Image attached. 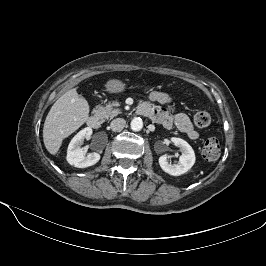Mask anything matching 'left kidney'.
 Returning a JSON list of instances; mask_svg holds the SVG:
<instances>
[{"instance_id": "left-kidney-1", "label": "left kidney", "mask_w": 266, "mask_h": 266, "mask_svg": "<svg viewBox=\"0 0 266 266\" xmlns=\"http://www.w3.org/2000/svg\"><path fill=\"white\" fill-rule=\"evenodd\" d=\"M171 141L182 152L179 161L178 163L172 164L169 162L167 155H162L159 157V165L164 172L172 176H179L186 173L194 165L196 157L194 150L185 140L173 137Z\"/></svg>"}]
</instances>
